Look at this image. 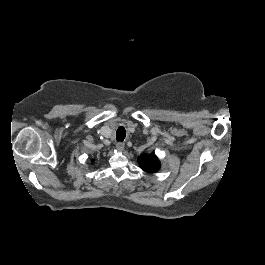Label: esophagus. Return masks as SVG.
I'll list each match as a JSON object with an SVG mask.
<instances>
[{
    "mask_svg": "<svg viewBox=\"0 0 265 265\" xmlns=\"http://www.w3.org/2000/svg\"><path fill=\"white\" fill-rule=\"evenodd\" d=\"M116 148L118 151L124 150V143H122V142L117 143Z\"/></svg>",
    "mask_w": 265,
    "mask_h": 265,
    "instance_id": "obj_1",
    "label": "esophagus"
}]
</instances>
